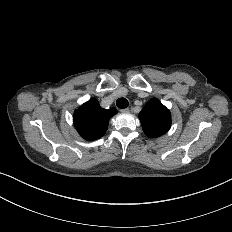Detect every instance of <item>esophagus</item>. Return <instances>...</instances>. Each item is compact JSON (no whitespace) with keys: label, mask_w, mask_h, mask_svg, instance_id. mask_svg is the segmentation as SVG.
<instances>
[{"label":"esophagus","mask_w":232,"mask_h":232,"mask_svg":"<svg viewBox=\"0 0 232 232\" xmlns=\"http://www.w3.org/2000/svg\"><path fill=\"white\" fill-rule=\"evenodd\" d=\"M122 113H128L129 112V108H124L120 110Z\"/></svg>","instance_id":"obj_1"}]
</instances>
